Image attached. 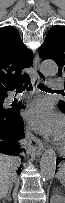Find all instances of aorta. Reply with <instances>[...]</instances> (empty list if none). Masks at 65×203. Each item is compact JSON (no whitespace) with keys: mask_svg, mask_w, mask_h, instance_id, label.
Here are the masks:
<instances>
[{"mask_svg":"<svg viewBox=\"0 0 65 203\" xmlns=\"http://www.w3.org/2000/svg\"><path fill=\"white\" fill-rule=\"evenodd\" d=\"M40 69L47 76H54L58 72V66L53 60H45L41 63ZM56 171V153L48 148L42 154L40 160V173L44 181H48L55 176Z\"/></svg>","mask_w":65,"mask_h":203,"instance_id":"aorta-1","label":"aorta"}]
</instances>
